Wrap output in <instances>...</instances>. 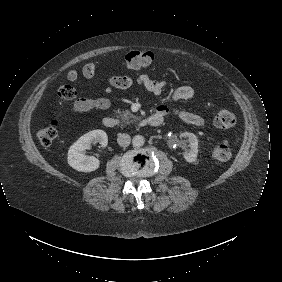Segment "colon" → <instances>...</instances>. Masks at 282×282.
Listing matches in <instances>:
<instances>
[{
    "instance_id": "obj_1",
    "label": "colon",
    "mask_w": 282,
    "mask_h": 282,
    "mask_svg": "<svg viewBox=\"0 0 282 282\" xmlns=\"http://www.w3.org/2000/svg\"><path fill=\"white\" fill-rule=\"evenodd\" d=\"M127 66L132 70H140L154 62V55L150 51L132 50L125 57ZM74 95L71 88L63 86L59 89L58 96L62 100H70ZM237 119L235 114L229 109H221L215 117V126L218 129H230L235 127ZM59 122L51 120L45 123L37 133L38 140L44 145H50L57 137ZM230 148L225 143H218L212 150V158L215 162H223L229 159Z\"/></svg>"
}]
</instances>
